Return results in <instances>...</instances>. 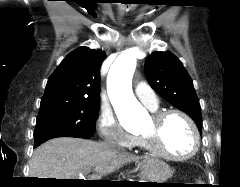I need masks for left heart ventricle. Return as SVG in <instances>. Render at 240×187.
<instances>
[{"mask_svg":"<svg viewBox=\"0 0 240 187\" xmlns=\"http://www.w3.org/2000/svg\"><path fill=\"white\" fill-rule=\"evenodd\" d=\"M139 133L152 136L159 150L174 155L186 154L193 146L188 125L177 115H170L160 123L151 118L142 125Z\"/></svg>","mask_w":240,"mask_h":187,"instance_id":"obj_1","label":"left heart ventricle"}]
</instances>
